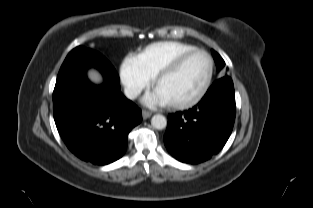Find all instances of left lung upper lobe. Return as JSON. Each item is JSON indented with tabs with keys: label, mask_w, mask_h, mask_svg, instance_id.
<instances>
[{
	"label": "left lung upper lobe",
	"mask_w": 313,
	"mask_h": 208,
	"mask_svg": "<svg viewBox=\"0 0 313 208\" xmlns=\"http://www.w3.org/2000/svg\"><path fill=\"white\" fill-rule=\"evenodd\" d=\"M212 53H213V57L215 59L216 65H217V70L221 71L223 69V67L225 66V62L217 52L212 51ZM225 76H227V75H225Z\"/></svg>",
	"instance_id": "left-lung-upper-lobe-1"
}]
</instances>
